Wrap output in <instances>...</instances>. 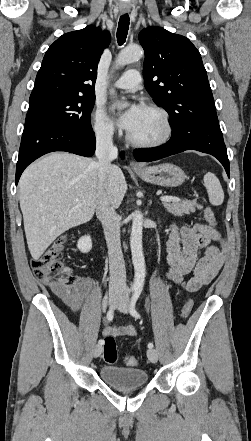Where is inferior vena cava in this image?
Instances as JSON below:
<instances>
[{"label": "inferior vena cava", "instance_id": "obj_1", "mask_svg": "<svg viewBox=\"0 0 251 441\" xmlns=\"http://www.w3.org/2000/svg\"><path fill=\"white\" fill-rule=\"evenodd\" d=\"M112 131L97 133L96 157L98 168L99 192L96 203V215L101 221L108 247L110 282L109 293L119 294L126 290V270L120 242L119 217L115 204L106 190L107 178L112 160L117 158L118 149L113 145Z\"/></svg>", "mask_w": 251, "mask_h": 441}]
</instances>
